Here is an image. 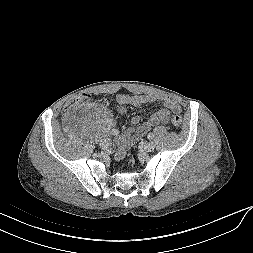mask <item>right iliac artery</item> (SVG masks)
Returning <instances> with one entry per match:
<instances>
[{
  "mask_svg": "<svg viewBox=\"0 0 253 253\" xmlns=\"http://www.w3.org/2000/svg\"><path fill=\"white\" fill-rule=\"evenodd\" d=\"M109 134L110 135H117V134H119V130L116 128H112L109 130Z\"/></svg>",
  "mask_w": 253,
  "mask_h": 253,
  "instance_id": "obj_1",
  "label": "right iliac artery"
}]
</instances>
